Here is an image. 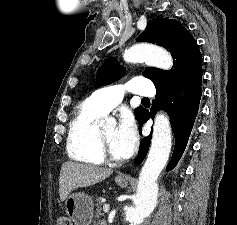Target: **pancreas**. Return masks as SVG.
I'll return each mask as SVG.
<instances>
[{"label":"pancreas","mask_w":237,"mask_h":225,"mask_svg":"<svg viewBox=\"0 0 237 225\" xmlns=\"http://www.w3.org/2000/svg\"><path fill=\"white\" fill-rule=\"evenodd\" d=\"M97 203H96V208H97V211H96V218L98 219V222L97 224H100L101 223V218L103 216V213H102V203H101V198H97L96 199Z\"/></svg>","instance_id":"cf45deb5"}]
</instances>
